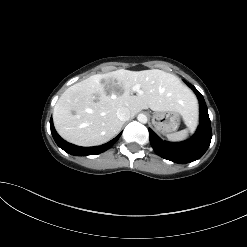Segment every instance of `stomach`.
<instances>
[{"label": "stomach", "instance_id": "1", "mask_svg": "<svg viewBox=\"0 0 247 247\" xmlns=\"http://www.w3.org/2000/svg\"><path fill=\"white\" fill-rule=\"evenodd\" d=\"M152 123L160 133L166 135L179 128L180 114L175 111L156 112L153 115Z\"/></svg>", "mask_w": 247, "mask_h": 247}]
</instances>
